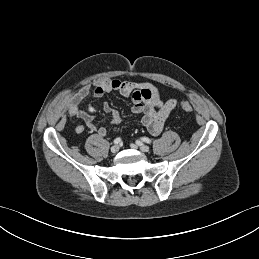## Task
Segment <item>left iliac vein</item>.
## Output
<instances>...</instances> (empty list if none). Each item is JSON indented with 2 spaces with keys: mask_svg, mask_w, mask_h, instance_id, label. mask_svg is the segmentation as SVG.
<instances>
[{
  "mask_svg": "<svg viewBox=\"0 0 259 259\" xmlns=\"http://www.w3.org/2000/svg\"><path fill=\"white\" fill-rule=\"evenodd\" d=\"M131 147H132V148H136V145L131 144ZM139 148H140V150H141L142 152H148V151L150 150L149 147H148L147 145H144V144H140V145H139Z\"/></svg>",
  "mask_w": 259,
  "mask_h": 259,
  "instance_id": "left-iliac-vein-1",
  "label": "left iliac vein"
}]
</instances>
